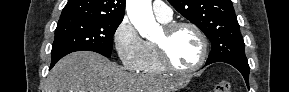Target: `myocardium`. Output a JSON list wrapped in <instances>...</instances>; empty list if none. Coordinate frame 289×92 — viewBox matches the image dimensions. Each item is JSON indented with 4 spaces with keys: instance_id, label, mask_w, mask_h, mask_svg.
Wrapping results in <instances>:
<instances>
[{
    "instance_id": "obj_1",
    "label": "myocardium",
    "mask_w": 289,
    "mask_h": 92,
    "mask_svg": "<svg viewBox=\"0 0 289 92\" xmlns=\"http://www.w3.org/2000/svg\"><path fill=\"white\" fill-rule=\"evenodd\" d=\"M180 28L192 29L197 35L201 44V53H200L199 60L192 67L180 68L174 65V63L170 59V56L167 50L166 41L164 42L155 41L154 45H155L160 63L166 71L176 73V74H190L199 70L205 64L207 56H208V41L204 32L201 30V28L197 26L196 24L189 22V21H173V22L166 23L163 27L166 39H168L175 31H177Z\"/></svg>"
}]
</instances>
